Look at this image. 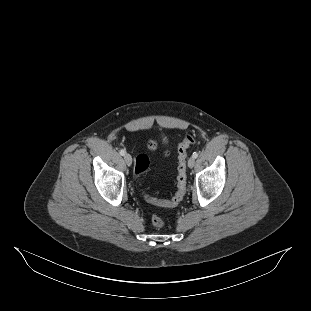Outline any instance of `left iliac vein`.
Here are the masks:
<instances>
[{"label": "left iliac vein", "instance_id": "1", "mask_svg": "<svg viewBox=\"0 0 311 311\" xmlns=\"http://www.w3.org/2000/svg\"><path fill=\"white\" fill-rule=\"evenodd\" d=\"M195 165V158L194 157H191L189 160H188V167L189 168H192L194 167Z\"/></svg>", "mask_w": 311, "mask_h": 311}]
</instances>
